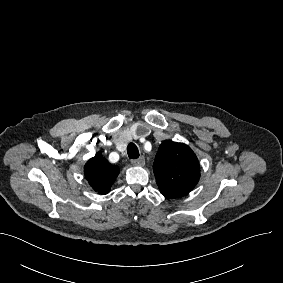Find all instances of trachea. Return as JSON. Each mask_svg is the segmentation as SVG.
Instances as JSON below:
<instances>
[{
	"instance_id": "3493384b",
	"label": "trachea",
	"mask_w": 283,
	"mask_h": 283,
	"mask_svg": "<svg viewBox=\"0 0 283 283\" xmlns=\"http://www.w3.org/2000/svg\"><path fill=\"white\" fill-rule=\"evenodd\" d=\"M127 153L130 159H137L139 157V150L134 143L128 144Z\"/></svg>"
}]
</instances>
